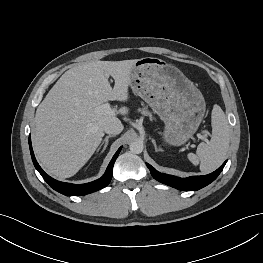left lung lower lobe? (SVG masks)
I'll return each instance as SVG.
<instances>
[{
	"label": "left lung lower lobe",
	"instance_id": "0a47b994",
	"mask_svg": "<svg viewBox=\"0 0 263 263\" xmlns=\"http://www.w3.org/2000/svg\"><path fill=\"white\" fill-rule=\"evenodd\" d=\"M226 162L227 161H225L222 166L213 173L204 176H191L188 178H179L173 175L163 174L158 172L148 163H146V165L150 169L152 176L157 181L182 191H196L213 182L223 170Z\"/></svg>",
	"mask_w": 263,
	"mask_h": 263
}]
</instances>
